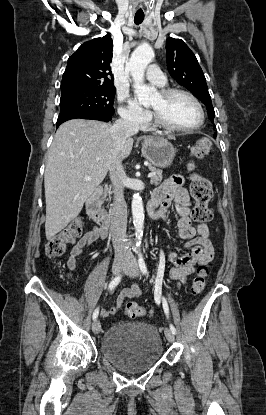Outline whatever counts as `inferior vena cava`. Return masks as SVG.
Masks as SVG:
<instances>
[{
	"label": "inferior vena cava",
	"instance_id": "1",
	"mask_svg": "<svg viewBox=\"0 0 266 415\" xmlns=\"http://www.w3.org/2000/svg\"><path fill=\"white\" fill-rule=\"evenodd\" d=\"M139 130L137 121L130 115L123 116L115 121L111 127L115 148L120 151L126 139ZM121 159H116L111 166L110 180L113 186L114 200L110 211L112 242L115 257H133L132 252L125 247L127 228V205L124 199L125 172Z\"/></svg>",
	"mask_w": 266,
	"mask_h": 415
}]
</instances>
